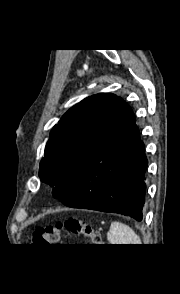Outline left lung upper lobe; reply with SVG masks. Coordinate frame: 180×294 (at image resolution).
Returning <instances> with one entry per match:
<instances>
[{"label": "left lung upper lobe", "mask_w": 180, "mask_h": 294, "mask_svg": "<svg viewBox=\"0 0 180 294\" xmlns=\"http://www.w3.org/2000/svg\"><path fill=\"white\" fill-rule=\"evenodd\" d=\"M129 108L120 97L99 93L70 108L50 133L40 179L53 186V196L65 197L88 161Z\"/></svg>", "instance_id": "5c2ea615"}]
</instances>
